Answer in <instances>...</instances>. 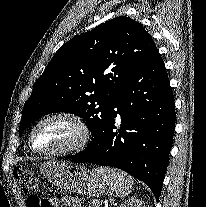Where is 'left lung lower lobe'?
Instances as JSON below:
<instances>
[{"label": "left lung lower lobe", "instance_id": "0a47b994", "mask_svg": "<svg viewBox=\"0 0 206 207\" xmlns=\"http://www.w3.org/2000/svg\"><path fill=\"white\" fill-rule=\"evenodd\" d=\"M174 129V97L156 49L115 96L94 145L73 155L71 162L122 169L145 182L158 201Z\"/></svg>", "mask_w": 206, "mask_h": 207}]
</instances>
